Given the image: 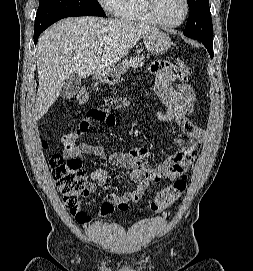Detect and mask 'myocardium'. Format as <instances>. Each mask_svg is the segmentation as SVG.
<instances>
[{
    "instance_id": "obj_1",
    "label": "myocardium",
    "mask_w": 253,
    "mask_h": 271,
    "mask_svg": "<svg viewBox=\"0 0 253 271\" xmlns=\"http://www.w3.org/2000/svg\"><path fill=\"white\" fill-rule=\"evenodd\" d=\"M154 0H144V6L145 9L148 13V15L150 16V18L158 25L165 27V28H176L179 27L180 25H182L186 19L189 16V12H190V5H189V1L188 0H183L184 2V6H185V10H184V14L182 16V18L176 22V23H167L164 22L163 20H161L155 10V6H154Z\"/></svg>"
}]
</instances>
